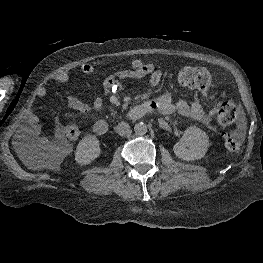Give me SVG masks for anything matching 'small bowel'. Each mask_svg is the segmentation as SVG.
Segmentation results:
<instances>
[{"mask_svg":"<svg viewBox=\"0 0 263 263\" xmlns=\"http://www.w3.org/2000/svg\"><path fill=\"white\" fill-rule=\"evenodd\" d=\"M80 72L84 75H90L95 72V67L91 64H83L80 67ZM144 77H148L149 86L155 87L160 83L163 77V71L152 63H144L143 61L136 59L131 62L129 68L118 70L109 75L103 82V91L105 94L118 92L124 88L125 80L141 79ZM69 79L70 76L67 72L58 73L53 77V81L57 83H66ZM45 95L46 89L44 87H39L37 89V96L43 97ZM66 100L72 109L80 113L99 110L103 105V98L101 95H96L91 105L81 101L73 95H68ZM145 104L149 105L151 111L157 110L163 114L177 112L182 116L201 121L209 129L215 128L211 115L205 113L199 101H173L169 94H163L155 99L145 102ZM22 134L26 138L33 139L38 146L43 148H52L59 144L63 139V130L59 125L56 126L53 138L40 136L37 118L34 115L29 117L28 125L22 130Z\"/></svg>","mask_w":263,"mask_h":263,"instance_id":"obj_1","label":"small bowel"}]
</instances>
